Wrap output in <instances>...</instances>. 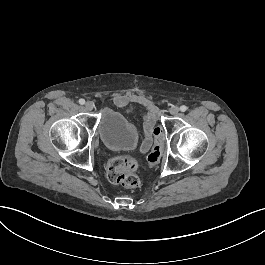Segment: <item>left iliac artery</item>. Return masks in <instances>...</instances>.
Returning <instances> with one entry per match:
<instances>
[{"mask_svg":"<svg viewBox=\"0 0 265 265\" xmlns=\"http://www.w3.org/2000/svg\"><path fill=\"white\" fill-rule=\"evenodd\" d=\"M187 110V107L185 106V105H182L181 107H180V111L181 112H185Z\"/></svg>","mask_w":265,"mask_h":265,"instance_id":"obj_1","label":"left iliac artery"}]
</instances>
